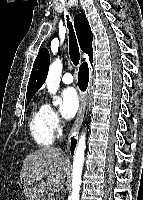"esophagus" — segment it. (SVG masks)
I'll list each match as a JSON object with an SVG mask.
<instances>
[{
	"instance_id": "34e87169",
	"label": "esophagus",
	"mask_w": 143,
	"mask_h": 200,
	"mask_svg": "<svg viewBox=\"0 0 143 200\" xmlns=\"http://www.w3.org/2000/svg\"><path fill=\"white\" fill-rule=\"evenodd\" d=\"M85 107H86V96L83 92H81L80 93V106H79V110H78L76 120H75L73 128H72V132H71L70 137L68 139L67 150H69L70 138L72 136H74L75 132L77 130H79V128L81 126V123H82L83 118H84Z\"/></svg>"
}]
</instances>
